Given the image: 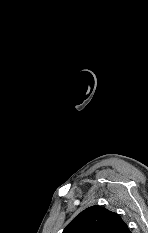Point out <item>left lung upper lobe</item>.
<instances>
[{
  "mask_svg": "<svg viewBox=\"0 0 148 233\" xmlns=\"http://www.w3.org/2000/svg\"><path fill=\"white\" fill-rule=\"evenodd\" d=\"M63 233H131L121 217L104 207L91 206L78 214Z\"/></svg>",
  "mask_w": 148,
  "mask_h": 233,
  "instance_id": "left-lung-upper-lobe-1",
  "label": "left lung upper lobe"
}]
</instances>
